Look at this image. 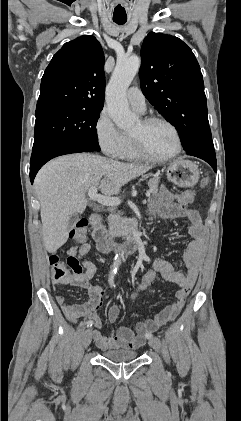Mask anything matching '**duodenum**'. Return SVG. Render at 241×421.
<instances>
[{
	"mask_svg": "<svg viewBox=\"0 0 241 421\" xmlns=\"http://www.w3.org/2000/svg\"><path fill=\"white\" fill-rule=\"evenodd\" d=\"M90 220L93 226V238L100 252L109 253L121 249L127 254H132L138 250L140 241L136 236H129L123 243L114 244L102 224L101 215L94 213Z\"/></svg>",
	"mask_w": 241,
	"mask_h": 421,
	"instance_id": "410a0bca",
	"label": "duodenum"
}]
</instances>
